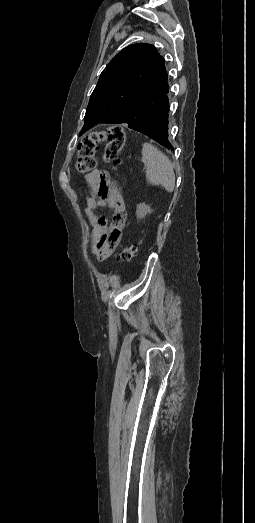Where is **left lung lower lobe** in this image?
<instances>
[{
  "label": "left lung lower lobe",
  "mask_w": 255,
  "mask_h": 523,
  "mask_svg": "<svg viewBox=\"0 0 255 523\" xmlns=\"http://www.w3.org/2000/svg\"><path fill=\"white\" fill-rule=\"evenodd\" d=\"M170 123L173 121V116H166V120L157 121L153 125H145V127H135L137 132H144V136L151 137V140H158L159 146L164 145V148L170 150L172 145L168 140V133L170 132Z\"/></svg>",
  "instance_id": "left-lung-lower-lobe-1"
}]
</instances>
